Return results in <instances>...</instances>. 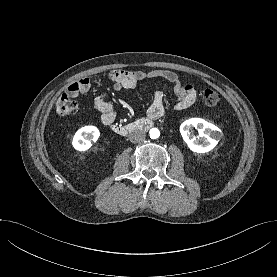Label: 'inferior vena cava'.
Masks as SVG:
<instances>
[{"mask_svg":"<svg viewBox=\"0 0 277 277\" xmlns=\"http://www.w3.org/2000/svg\"><path fill=\"white\" fill-rule=\"evenodd\" d=\"M145 139V133L142 131H133L130 135H129V140L132 143H138L141 142Z\"/></svg>","mask_w":277,"mask_h":277,"instance_id":"1","label":"inferior vena cava"}]
</instances>
